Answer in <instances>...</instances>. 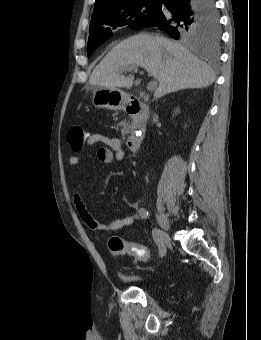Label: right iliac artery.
Returning <instances> with one entry per match:
<instances>
[{
	"instance_id": "82829eb1",
	"label": "right iliac artery",
	"mask_w": 261,
	"mask_h": 340,
	"mask_svg": "<svg viewBox=\"0 0 261 340\" xmlns=\"http://www.w3.org/2000/svg\"><path fill=\"white\" fill-rule=\"evenodd\" d=\"M139 215L141 216L142 219H145V220L149 218V212L145 208L139 209ZM152 236H153V240H154L155 244L158 247L159 256L163 257L166 253L165 244H164V241H163V234L161 233L160 230L154 228L152 230Z\"/></svg>"
}]
</instances>
